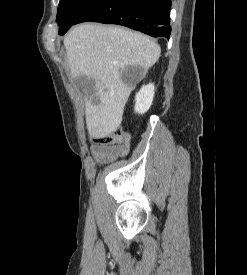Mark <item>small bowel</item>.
<instances>
[{"label":"small bowel","instance_id":"obj_1","mask_svg":"<svg viewBox=\"0 0 247 275\" xmlns=\"http://www.w3.org/2000/svg\"><path fill=\"white\" fill-rule=\"evenodd\" d=\"M127 145H99L92 147V154L99 164H107L127 154Z\"/></svg>","mask_w":247,"mask_h":275}]
</instances>
